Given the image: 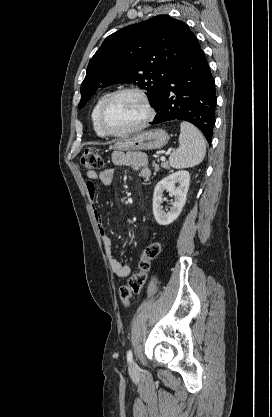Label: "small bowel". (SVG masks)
Segmentation results:
<instances>
[{
    "label": "small bowel",
    "mask_w": 272,
    "mask_h": 417,
    "mask_svg": "<svg viewBox=\"0 0 272 417\" xmlns=\"http://www.w3.org/2000/svg\"><path fill=\"white\" fill-rule=\"evenodd\" d=\"M112 163L115 166H125L130 167L135 170L141 177L145 178L147 181L150 179L151 173L148 168L147 156L142 152H122L115 151L112 156ZM115 177V169H106L100 172L94 170H89L87 172V182L86 189L88 196L93 203V213L94 218L97 223L104 250L108 257V263L111 271L118 277L124 278L131 273V268L128 265L121 263L113 254V241L112 238L107 233L104 223L103 216L100 211L95 206V200L97 196V189L95 181L99 180L103 184H110Z\"/></svg>",
    "instance_id": "obj_1"
}]
</instances>
